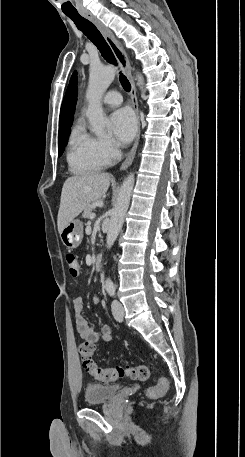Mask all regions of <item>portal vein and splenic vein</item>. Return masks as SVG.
<instances>
[{
  "label": "portal vein and splenic vein",
  "mask_w": 245,
  "mask_h": 457,
  "mask_svg": "<svg viewBox=\"0 0 245 457\" xmlns=\"http://www.w3.org/2000/svg\"><path fill=\"white\" fill-rule=\"evenodd\" d=\"M90 218H95L94 212H93V214H91Z\"/></svg>",
  "instance_id": "portal-vein-and-splenic-vein-1"
}]
</instances>
